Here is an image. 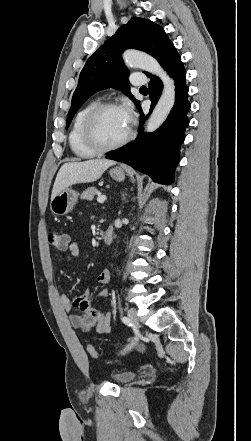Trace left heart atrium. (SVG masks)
Masks as SVG:
<instances>
[{"instance_id": "39dd6f15", "label": "left heart atrium", "mask_w": 251, "mask_h": 441, "mask_svg": "<svg viewBox=\"0 0 251 441\" xmlns=\"http://www.w3.org/2000/svg\"><path fill=\"white\" fill-rule=\"evenodd\" d=\"M123 110L125 111V113L127 114L128 118L130 119V109H129V107H125V108H123Z\"/></svg>"}]
</instances>
